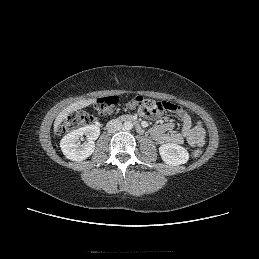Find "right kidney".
I'll list each match as a JSON object with an SVG mask.
<instances>
[{
	"mask_svg": "<svg viewBox=\"0 0 259 259\" xmlns=\"http://www.w3.org/2000/svg\"><path fill=\"white\" fill-rule=\"evenodd\" d=\"M86 136L87 142L81 144L80 138ZM100 135V128L97 125H87L74 130L64 136L60 141V147L66 158L73 161L87 159L95 149L94 141Z\"/></svg>",
	"mask_w": 259,
	"mask_h": 259,
	"instance_id": "1",
	"label": "right kidney"
}]
</instances>
